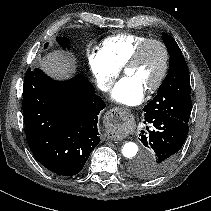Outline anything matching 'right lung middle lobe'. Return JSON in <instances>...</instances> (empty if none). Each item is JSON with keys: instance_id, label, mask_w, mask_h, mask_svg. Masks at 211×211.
I'll return each instance as SVG.
<instances>
[{"instance_id": "right-lung-middle-lobe-1", "label": "right lung middle lobe", "mask_w": 211, "mask_h": 211, "mask_svg": "<svg viewBox=\"0 0 211 211\" xmlns=\"http://www.w3.org/2000/svg\"><path fill=\"white\" fill-rule=\"evenodd\" d=\"M57 42L61 45V46H66L67 44H69V40L66 37H59L57 38ZM47 46V44L45 45V47ZM68 47V46H67Z\"/></svg>"}]
</instances>
